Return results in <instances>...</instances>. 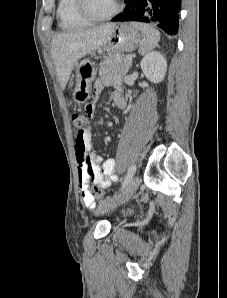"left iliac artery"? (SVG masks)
I'll use <instances>...</instances> for the list:
<instances>
[{"label": "left iliac artery", "mask_w": 227, "mask_h": 298, "mask_svg": "<svg viewBox=\"0 0 227 298\" xmlns=\"http://www.w3.org/2000/svg\"><path fill=\"white\" fill-rule=\"evenodd\" d=\"M136 172V165H131L128 169L127 175L122 183L121 190L127 186Z\"/></svg>", "instance_id": "44dca946"}]
</instances>
